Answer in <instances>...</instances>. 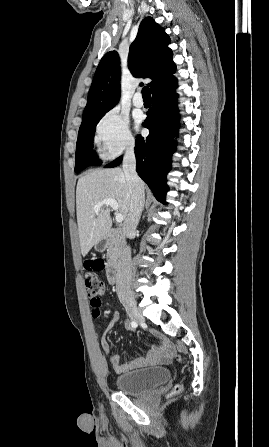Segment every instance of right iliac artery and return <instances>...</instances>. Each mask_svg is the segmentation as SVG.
Returning <instances> with one entry per match:
<instances>
[{
	"instance_id": "right-iliac-artery-1",
	"label": "right iliac artery",
	"mask_w": 269,
	"mask_h": 447,
	"mask_svg": "<svg viewBox=\"0 0 269 447\" xmlns=\"http://www.w3.org/2000/svg\"><path fill=\"white\" fill-rule=\"evenodd\" d=\"M132 327H137V323L135 321L131 322Z\"/></svg>"
}]
</instances>
